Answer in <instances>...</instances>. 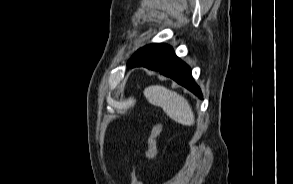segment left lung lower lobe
Wrapping results in <instances>:
<instances>
[{
	"label": "left lung lower lobe",
	"instance_id": "left-lung-lower-lobe-1",
	"mask_svg": "<svg viewBox=\"0 0 293 184\" xmlns=\"http://www.w3.org/2000/svg\"><path fill=\"white\" fill-rule=\"evenodd\" d=\"M146 49L148 57L130 66V68L143 66L159 71L162 75L172 78L202 99L201 90L192 78L190 67L175 55L169 45L150 44Z\"/></svg>",
	"mask_w": 293,
	"mask_h": 184
}]
</instances>
